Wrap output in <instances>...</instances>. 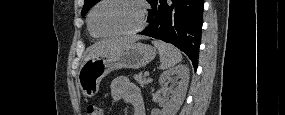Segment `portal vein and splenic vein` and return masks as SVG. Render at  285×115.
Masks as SVG:
<instances>
[{"instance_id": "18ae733b", "label": "portal vein and splenic vein", "mask_w": 285, "mask_h": 115, "mask_svg": "<svg viewBox=\"0 0 285 115\" xmlns=\"http://www.w3.org/2000/svg\"><path fill=\"white\" fill-rule=\"evenodd\" d=\"M144 75H145V76H149V72L146 71V72L144 73Z\"/></svg>"}]
</instances>
